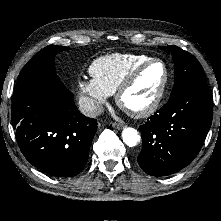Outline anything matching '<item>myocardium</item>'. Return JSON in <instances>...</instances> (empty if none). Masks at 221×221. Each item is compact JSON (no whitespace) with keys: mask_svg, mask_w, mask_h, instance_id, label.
<instances>
[{"mask_svg":"<svg viewBox=\"0 0 221 221\" xmlns=\"http://www.w3.org/2000/svg\"><path fill=\"white\" fill-rule=\"evenodd\" d=\"M154 63H160L164 68V78L162 80V83L160 85V88L158 92L156 93L153 100L145 107L138 109V110H131L124 106L123 104V97L125 93L135 84L139 76L142 74V72L149 67L150 65ZM169 68L167 64L159 58H150L140 65H138L136 68H134L129 75L124 79V81L120 84L118 87L116 93H115V99L117 105L124 110L127 114H129L132 117L135 118H144L148 117L151 114H153L161 104V101L165 95L168 82H169Z\"/></svg>","mask_w":221,"mask_h":221,"instance_id":"f54148a6","label":"myocardium"}]
</instances>
